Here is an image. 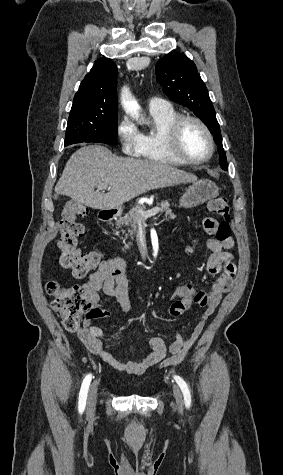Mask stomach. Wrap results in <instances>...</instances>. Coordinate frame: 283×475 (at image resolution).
I'll return each instance as SVG.
<instances>
[{
    "mask_svg": "<svg viewBox=\"0 0 283 475\" xmlns=\"http://www.w3.org/2000/svg\"><path fill=\"white\" fill-rule=\"evenodd\" d=\"M217 196H219V190L214 182L199 180V182H194L192 186H189L185 194L181 196L179 204L182 208H196V206H200L207 200H213ZM118 216H120V212H118Z\"/></svg>",
    "mask_w": 283,
    "mask_h": 475,
    "instance_id": "stomach-1",
    "label": "stomach"
}]
</instances>
